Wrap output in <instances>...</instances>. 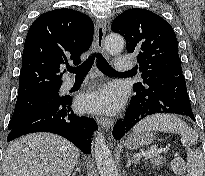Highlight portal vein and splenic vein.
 Returning a JSON list of instances; mask_svg holds the SVG:
<instances>
[{"mask_svg":"<svg viewBox=\"0 0 205 176\" xmlns=\"http://www.w3.org/2000/svg\"><path fill=\"white\" fill-rule=\"evenodd\" d=\"M169 150H170V148H167V147L166 148H158V149H156V148L150 149V150L145 152L144 159L146 160V159L152 158L154 156L160 155L161 153L167 152Z\"/></svg>","mask_w":205,"mask_h":176,"instance_id":"18ae733b","label":"portal vein and splenic vein"}]
</instances>
